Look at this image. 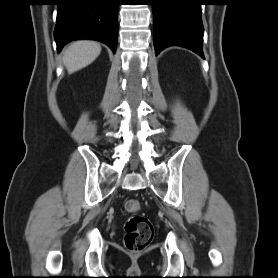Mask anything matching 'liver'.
I'll return each instance as SVG.
<instances>
[{
	"mask_svg": "<svg viewBox=\"0 0 278 278\" xmlns=\"http://www.w3.org/2000/svg\"><path fill=\"white\" fill-rule=\"evenodd\" d=\"M101 47L95 41L78 40L70 44L64 53L63 62L69 73L91 64L100 54Z\"/></svg>",
	"mask_w": 278,
	"mask_h": 278,
	"instance_id": "1",
	"label": "liver"
}]
</instances>
